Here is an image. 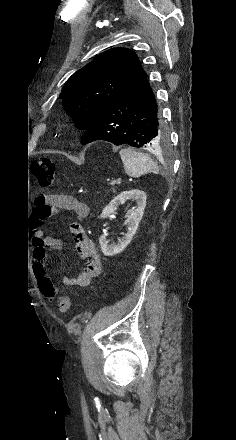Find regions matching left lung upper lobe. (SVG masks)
I'll return each mask as SVG.
<instances>
[{
	"label": "left lung upper lobe",
	"instance_id": "obj_1",
	"mask_svg": "<svg viewBox=\"0 0 236 440\" xmlns=\"http://www.w3.org/2000/svg\"><path fill=\"white\" fill-rule=\"evenodd\" d=\"M144 74L132 50L114 48L75 72L66 81L60 98L76 126L86 130L113 100Z\"/></svg>",
	"mask_w": 236,
	"mask_h": 440
}]
</instances>
